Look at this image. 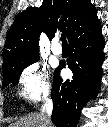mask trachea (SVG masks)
Returning a JSON list of instances; mask_svg holds the SVG:
<instances>
[{"instance_id":"1","label":"trachea","mask_w":108,"mask_h":127,"mask_svg":"<svg viewBox=\"0 0 108 127\" xmlns=\"http://www.w3.org/2000/svg\"><path fill=\"white\" fill-rule=\"evenodd\" d=\"M61 41H62V44H63V45H67L66 35H65V34H62V35H61Z\"/></svg>"}]
</instances>
